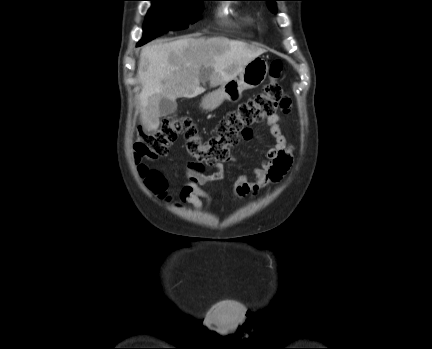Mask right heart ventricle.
<instances>
[{
    "label": "right heart ventricle",
    "mask_w": 432,
    "mask_h": 349,
    "mask_svg": "<svg viewBox=\"0 0 432 349\" xmlns=\"http://www.w3.org/2000/svg\"><path fill=\"white\" fill-rule=\"evenodd\" d=\"M243 21H244L245 24L249 25V24H252L254 20H253V18L251 16L245 15L243 17Z\"/></svg>",
    "instance_id": "right-heart-ventricle-1"
}]
</instances>
